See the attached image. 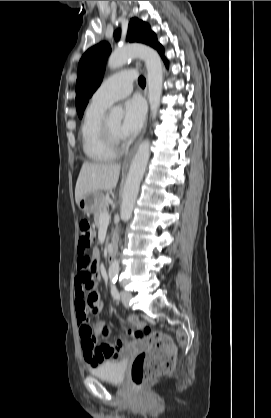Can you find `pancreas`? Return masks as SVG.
Segmentation results:
<instances>
[{
	"label": "pancreas",
	"instance_id": "1",
	"mask_svg": "<svg viewBox=\"0 0 271 418\" xmlns=\"http://www.w3.org/2000/svg\"><path fill=\"white\" fill-rule=\"evenodd\" d=\"M107 207H108L107 195L106 196L103 195L97 209L94 212V221L97 227L100 225V216L104 212L107 211Z\"/></svg>",
	"mask_w": 271,
	"mask_h": 418
}]
</instances>
